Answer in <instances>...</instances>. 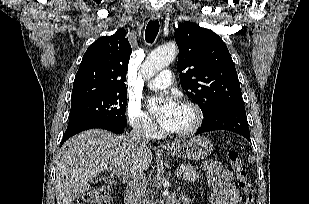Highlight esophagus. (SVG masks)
<instances>
[{"instance_id": "34e87169", "label": "esophagus", "mask_w": 309, "mask_h": 204, "mask_svg": "<svg viewBox=\"0 0 309 204\" xmlns=\"http://www.w3.org/2000/svg\"><path fill=\"white\" fill-rule=\"evenodd\" d=\"M151 18L153 20H157L160 18V14L159 13H151ZM160 147L163 149V150H168V149H171L172 148V145L168 142H163L161 143Z\"/></svg>"}]
</instances>
